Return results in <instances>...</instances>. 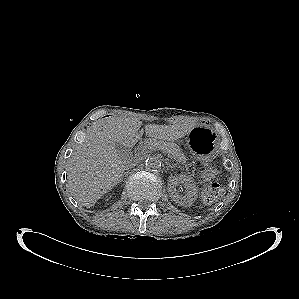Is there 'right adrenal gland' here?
Listing matches in <instances>:
<instances>
[{
    "label": "right adrenal gland",
    "mask_w": 299,
    "mask_h": 299,
    "mask_svg": "<svg viewBox=\"0 0 299 299\" xmlns=\"http://www.w3.org/2000/svg\"><path fill=\"white\" fill-rule=\"evenodd\" d=\"M127 169H128V168H127ZM126 174H127V172L122 174V177H121L120 181L123 180V177H124Z\"/></svg>",
    "instance_id": "obj_1"
}]
</instances>
